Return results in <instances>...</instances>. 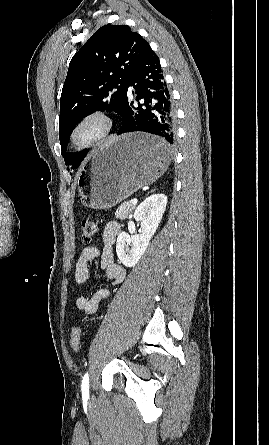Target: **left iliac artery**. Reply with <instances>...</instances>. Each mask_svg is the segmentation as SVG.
<instances>
[{"instance_id":"1","label":"left iliac artery","mask_w":269,"mask_h":445,"mask_svg":"<svg viewBox=\"0 0 269 445\" xmlns=\"http://www.w3.org/2000/svg\"><path fill=\"white\" fill-rule=\"evenodd\" d=\"M81 392L84 399L89 397V374L86 373L81 384Z\"/></svg>"}]
</instances>
